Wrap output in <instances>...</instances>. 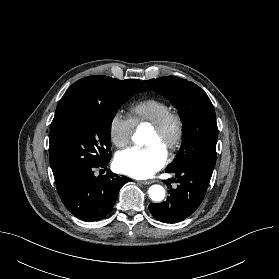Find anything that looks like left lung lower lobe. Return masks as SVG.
<instances>
[{
    "mask_svg": "<svg viewBox=\"0 0 279 279\" xmlns=\"http://www.w3.org/2000/svg\"><path fill=\"white\" fill-rule=\"evenodd\" d=\"M175 173L174 179L164 180L169 190L167 200L162 203H151L152 215L164 223H177L189 217L201 204L211 177L194 169L166 170ZM171 182H178L173 189Z\"/></svg>",
    "mask_w": 279,
    "mask_h": 279,
    "instance_id": "left-lung-lower-lobe-1",
    "label": "left lung lower lobe"
}]
</instances>
